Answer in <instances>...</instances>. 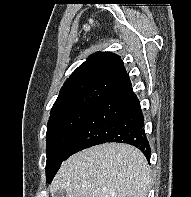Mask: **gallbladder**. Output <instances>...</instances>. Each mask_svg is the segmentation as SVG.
Returning a JSON list of instances; mask_svg holds the SVG:
<instances>
[{"mask_svg":"<svg viewBox=\"0 0 191 197\" xmlns=\"http://www.w3.org/2000/svg\"><path fill=\"white\" fill-rule=\"evenodd\" d=\"M53 197H66V193L63 190H59L55 193Z\"/></svg>","mask_w":191,"mask_h":197,"instance_id":"1","label":"gallbladder"}]
</instances>
